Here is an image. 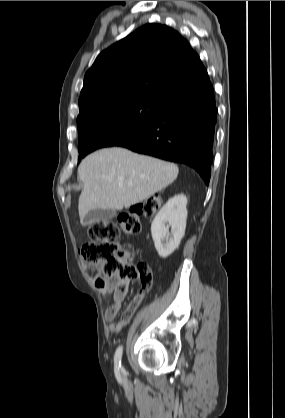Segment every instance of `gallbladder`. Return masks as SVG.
Segmentation results:
<instances>
[{
  "label": "gallbladder",
  "mask_w": 285,
  "mask_h": 418,
  "mask_svg": "<svg viewBox=\"0 0 285 418\" xmlns=\"http://www.w3.org/2000/svg\"><path fill=\"white\" fill-rule=\"evenodd\" d=\"M116 216V211L113 209L96 208L88 211L81 219L84 226L98 221H110Z\"/></svg>",
  "instance_id": "1"
}]
</instances>
